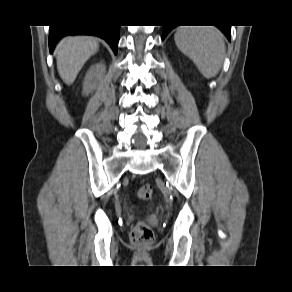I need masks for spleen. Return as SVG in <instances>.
I'll return each instance as SVG.
<instances>
[{"label": "spleen", "instance_id": "1", "mask_svg": "<svg viewBox=\"0 0 292 292\" xmlns=\"http://www.w3.org/2000/svg\"><path fill=\"white\" fill-rule=\"evenodd\" d=\"M178 49L188 56L207 79L215 77L224 61L226 46L215 27L182 26L174 35Z\"/></svg>", "mask_w": 292, "mask_h": 292}]
</instances>
